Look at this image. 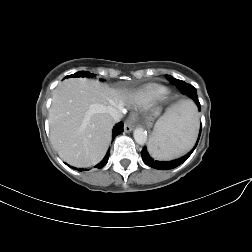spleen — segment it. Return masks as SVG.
Here are the masks:
<instances>
[{"label": "spleen", "instance_id": "obj_1", "mask_svg": "<svg viewBox=\"0 0 252 252\" xmlns=\"http://www.w3.org/2000/svg\"><path fill=\"white\" fill-rule=\"evenodd\" d=\"M197 132L195 106L190 101H181L156 122L148 143L149 153L157 160L178 158L192 148Z\"/></svg>", "mask_w": 252, "mask_h": 252}]
</instances>
